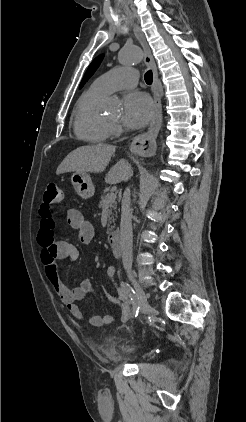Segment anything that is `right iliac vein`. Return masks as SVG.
<instances>
[{"label":"right iliac vein","mask_w":246,"mask_h":422,"mask_svg":"<svg viewBox=\"0 0 246 422\" xmlns=\"http://www.w3.org/2000/svg\"><path fill=\"white\" fill-rule=\"evenodd\" d=\"M130 281L132 282L133 286L135 287L136 291H137V296H138V306L140 308V311L142 314H148L150 311V306L148 304L147 301V297L145 292L143 291V289L139 286V284L137 283V281L135 280V278L133 277V275L129 274L128 275Z\"/></svg>","instance_id":"right-iliac-vein-1"}]
</instances>
